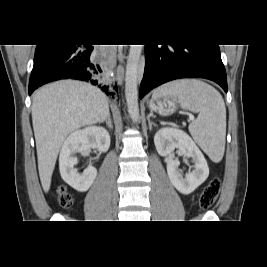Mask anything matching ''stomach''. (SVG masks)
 Returning a JSON list of instances; mask_svg holds the SVG:
<instances>
[{
    "instance_id": "0dacf381",
    "label": "stomach",
    "mask_w": 267,
    "mask_h": 267,
    "mask_svg": "<svg viewBox=\"0 0 267 267\" xmlns=\"http://www.w3.org/2000/svg\"><path fill=\"white\" fill-rule=\"evenodd\" d=\"M151 111L157 112L161 116H168L176 110V100L171 96H162L154 100H150L148 103Z\"/></svg>"
}]
</instances>
